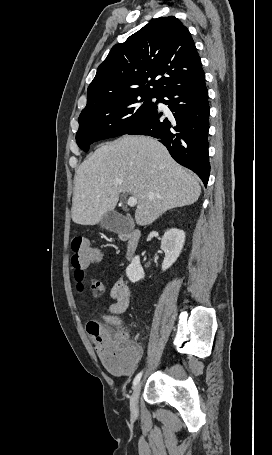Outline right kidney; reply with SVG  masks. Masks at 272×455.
<instances>
[{
    "label": "right kidney",
    "instance_id": "obj_1",
    "mask_svg": "<svg viewBox=\"0 0 272 455\" xmlns=\"http://www.w3.org/2000/svg\"><path fill=\"white\" fill-rule=\"evenodd\" d=\"M185 242L183 230L172 228L165 232L161 240V249L165 252L162 270L165 271L179 257ZM126 275L131 282H137L144 278V270L140 264L139 256H135L131 264L126 268Z\"/></svg>",
    "mask_w": 272,
    "mask_h": 455
}]
</instances>
